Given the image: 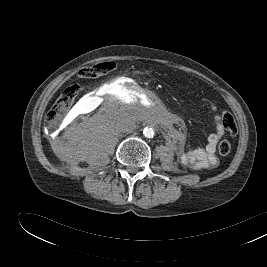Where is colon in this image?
Segmentation results:
<instances>
[{"mask_svg": "<svg viewBox=\"0 0 267 267\" xmlns=\"http://www.w3.org/2000/svg\"><path fill=\"white\" fill-rule=\"evenodd\" d=\"M111 68L112 66L110 62H103L82 68L79 71V76L85 79L96 78L105 74ZM78 92L79 88L76 85H70L63 90L59 98L51 106L46 114V124L48 127H55L61 122L69 108L74 103ZM223 125L231 135H234L236 133L237 126L235 119L231 113H223ZM218 151L222 156L228 155L231 151V143L228 140H222L219 143Z\"/></svg>", "mask_w": 267, "mask_h": 267, "instance_id": "5ec220e1", "label": "colon"}]
</instances>
